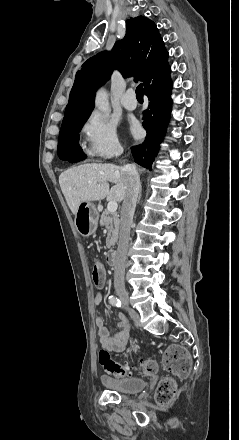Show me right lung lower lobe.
Masks as SVG:
<instances>
[{
  "instance_id": "98d812e1",
  "label": "right lung lower lobe",
  "mask_w": 239,
  "mask_h": 440,
  "mask_svg": "<svg viewBox=\"0 0 239 440\" xmlns=\"http://www.w3.org/2000/svg\"><path fill=\"white\" fill-rule=\"evenodd\" d=\"M171 89L169 66L144 84L145 94L150 101L149 109L144 112L143 122L147 135L145 141L131 147V151L135 162L148 169H151L166 131L172 105ZM58 155L62 160L69 162H77L86 158L79 145L62 151Z\"/></svg>"
}]
</instances>
